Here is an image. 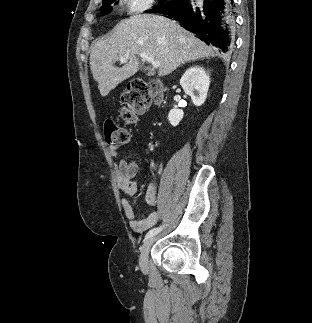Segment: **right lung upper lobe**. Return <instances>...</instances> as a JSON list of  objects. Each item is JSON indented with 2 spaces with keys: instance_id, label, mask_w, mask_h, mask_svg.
Wrapping results in <instances>:
<instances>
[{
  "instance_id": "right-lung-upper-lobe-1",
  "label": "right lung upper lobe",
  "mask_w": 312,
  "mask_h": 323,
  "mask_svg": "<svg viewBox=\"0 0 312 323\" xmlns=\"http://www.w3.org/2000/svg\"><path fill=\"white\" fill-rule=\"evenodd\" d=\"M109 1H111V0H103V4H104V3H107V2H109ZM155 13H157V12H155Z\"/></svg>"
}]
</instances>
